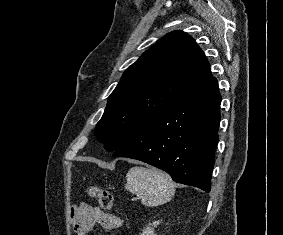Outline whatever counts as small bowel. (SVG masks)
I'll use <instances>...</instances> for the list:
<instances>
[{"label":"small bowel","mask_w":283,"mask_h":235,"mask_svg":"<svg viewBox=\"0 0 283 235\" xmlns=\"http://www.w3.org/2000/svg\"><path fill=\"white\" fill-rule=\"evenodd\" d=\"M72 227L76 235H87L95 224L104 229L114 231L119 229L123 221L119 217L106 214L101 209L87 204L74 205L70 209Z\"/></svg>","instance_id":"1"}]
</instances>
